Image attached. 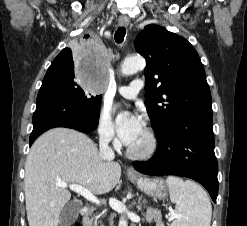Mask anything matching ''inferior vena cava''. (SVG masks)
<instances>
[{"mask_svg": "<svg viewBox=\"0 0 247 226\" xmlns=\"http://www.w3.org/2000/svg\"><path fill=\"white\" fill-rule=\"evenodd\" d=\"M114 133L112 130H103L99 139L100 156L104 160H112L115 157L114 151L109 146Z\"/></svg>", "mask_w": 247, "mask_h": 226, "instance_id": "inferior-vena-cava-1", "label": "inferior vena cava"}]
</instances>
